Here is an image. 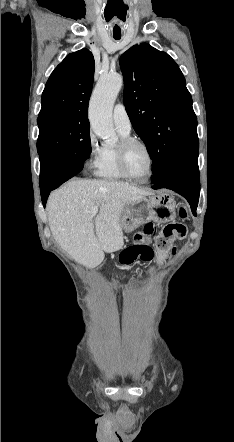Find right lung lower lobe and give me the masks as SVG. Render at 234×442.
<instances>
[{
	"label": "right lung lower lobe",
	"instance_id": "1",
	"mask_svg": "<svg viewBox=\"0 0 234 442\" xmlns=\"http://www.w3.org/2000/svg\"><path fill=\"white\" fill-rule=\"evenodd\" d=\"M40 159V190L43 206L51 192L62 183L78 174L84 161L70 151L47 152Z\"/></svg>",
	"mask_w": 234,
	"mask_h": 442
}]
</instances>
